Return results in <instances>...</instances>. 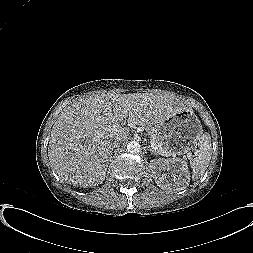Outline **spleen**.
<instances>
[{
    "label": "spleen",
    "instance_id": "3e777b00",
    "mask_svg": "<svg viewBox=\"0 0 253 253\" xmlns=\"http://www.w3.org/2000/svg\"><path fill=\"white\" fill-rule=\"evenodd\" d=\"M198 146V153L190 160L192 178L194 180L199 179L204 174L211 160V137L208 133L201 135Z\"/></svg>",
    "mask_w": 253,
    "mask_h": 253
}]
</instances>
